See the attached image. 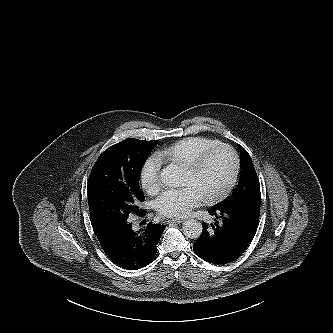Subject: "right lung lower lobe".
Instances as JSON below:
<instances>
[{
	"instance_id": "98d812e1",
	"label": "right lung lower lobe",
	"mask_w": 333,
	"mask_h": 333,
	"mask_svg": "<svg viewBox=\"0 0 333 333\" xmlns=\"http://www.w3.org/2000/svg\"><path fill=\"white\" fill-rule=\"evenodd\" d=\"M140 211L137 215L142 216ZM166 226L149 224L143 231L135 232L132 224L106 223L93 228L109 258L120 267L137 270L150 264L154 259L160 236Z\"/></svg>"
}]
</instances>
